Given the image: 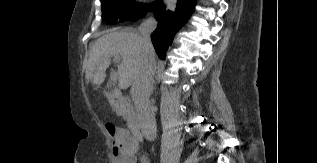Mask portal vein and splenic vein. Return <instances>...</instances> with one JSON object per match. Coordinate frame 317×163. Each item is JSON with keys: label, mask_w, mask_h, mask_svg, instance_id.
I'll list each match as a JSON object with an SVG mask.
<instances>
[{"label": "portal vein and splenic vein", "mask_w": 317, "mask_h": 163, "mask_svg": "<svg viewBox=\"0 0 317 163\" xmlns=\"http://www.w3.org/2000/svg\"><path fill=\"white\" fill-rule=\"evenodd\" d=\"M114 62H119L120 61V58L118 57H115L113 59ZM117 78H118V72H112L111 75H110V79L111 81L114 83L117 81Z\"/></svg>", "instance_id": "1"}]
</instances>
